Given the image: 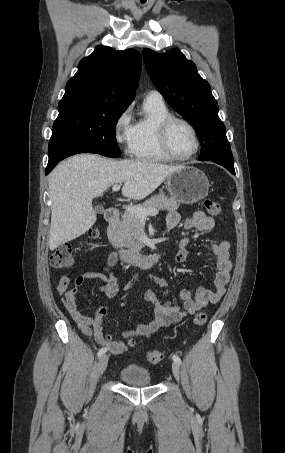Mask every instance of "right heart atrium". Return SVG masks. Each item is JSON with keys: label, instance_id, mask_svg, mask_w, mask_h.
Masks as SVG:
<instances>
[{"label": "right heart atrium", "instance_id": "1", "mask_svg": "<svg viewBox=\"0 0 285 453\" xmlns=\"http://www.w3.org/2000/svg\"><path fill=\"white\" fill-rule=\"evenodd\" d=\"M132 131V115L130 107L124 109L114 123V137L116 142L129 150Z\"/></svg>", "mask_w": 285, "mask_h": 453}]
</instances>
